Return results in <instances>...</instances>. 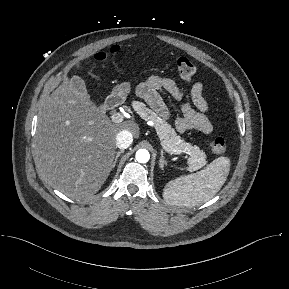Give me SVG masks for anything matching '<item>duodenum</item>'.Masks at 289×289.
Wrapping results in <instances>:
<instances>
[{
	"instance_id": "410a0bca",
	"label": "duodenum",
	"mask_w": 289,
	"mask_h": 289,
	"mask_svg": "<svg viewBox=\"0 0 289 289\" xmlns=\"http://www.w3.org/2000/svg\"><path fill=\"white\" fill-rule=\"evenodd\" d=\"M121 102H122L121 97L114 94L107 98L105 105L107 110L112 111L116 109L121 104Z\"/></svg>"
}]
</instances>
